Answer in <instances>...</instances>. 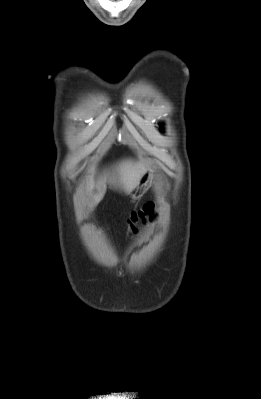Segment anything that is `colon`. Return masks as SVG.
Here are the masks:
<instances>
[{
  "mask_svg": "<svg viewBox=\"0 0 261 399\" xmlns=\"http://www.w3.org/2000/svg\"><path fill=\"white\" fill-rule=\"evenodd\" d=\"M153 210V203L148 202L141 208L132 212L129 218V224L134 225L139 220H143L146 216H149Z\"/></svg>",
  "mask_w": 261,
  "mask_h": 399,
  "instance_id": "obj_1",
  "label": "colon"
}]
</instances>
